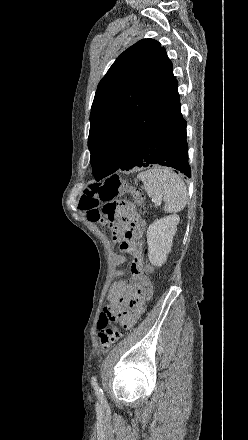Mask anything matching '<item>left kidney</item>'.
I'll return each mask as SVG.
<instances>
[{"instance_id":"obj_1","label":"left kidney","mask_w":248,"mask_h":440,"mask_svg":"<svg viewBox=\"0 0 248 440\" xmlns=\"http://www.w3.org/2000/svg\"><path fill=\"white\" fill-rule=\"evenodd\" d=\"M179 215L173 214L154 221L147 230L148 258L152 265L161 267L171 252Z\"/></svg>"}]
</instances>
